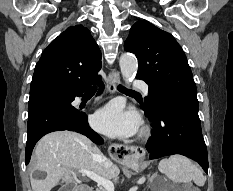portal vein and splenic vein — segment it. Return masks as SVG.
Here are the masks:
<instances>
[{
	"label": "portal vein and splenic vein",
	"instance_id": "18ae733b",
	"mask_svg": "<svg viewBox=\"0 0 233 191\" xmlns=\"http://www.w3.org/2000/svg\"><path fill=\"white\" fill-rule=\"evenodd\" d=\"M78 172L81 173L82 175H86L88 178L95 181L99 186H102L103 188H105L106 191H114V185L110 180H107L89 170L81 169V170H78Z\"/></svg>",
	"mask_w": 233,
	"mask_h": 191
}]
</instances>
